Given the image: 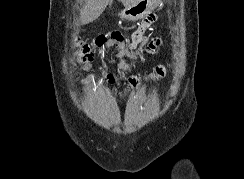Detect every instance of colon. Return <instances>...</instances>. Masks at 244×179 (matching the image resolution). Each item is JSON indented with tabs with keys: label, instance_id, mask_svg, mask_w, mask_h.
Masks as SVG:
<instances>
[{
	"label": "colon",
	"instance_id": "colon-1",
	"mask_svg": "<svg viewBox=\"0 0 244 179\" xmlns=\"http://www.w3.org/2000/svg\"><path fill=\"white\" fill-rule=\"evenodd\" d=\"M75 49L77 54L79 55V67L82 70H88L91 68V60H92V52L89 49V46L82 42L80 39H77L75 43ZM164 65H158L156 68L150 73L149 78L154 80L163 79ZM140 79L133 77L129 80V87L121 91V96H126L130 90H136L140 84Z\"/></svg>",
	"mask_w": 244,
	"mask_h": 179
}]
</instances>
